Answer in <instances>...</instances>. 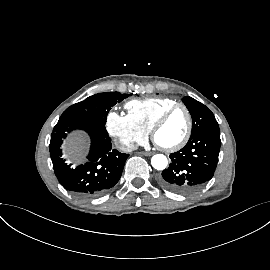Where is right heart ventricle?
<instances>
[{
    "mask_svg": "<svg viewBox=\"0 0 270 270\" xmlns=\"http://www.w3.org/2000/svg\"><path fill=\"white\" fill-rule=\"evenodd\" d=\"M176 103L172 98L134 99L126 104V109L132 119L149 132L158 117Z\"/></svg>",
    "mask_w": 270,
    "mask_h": 270,
    "instance_id": "right-heart-ventricle-1",
    "label": "right heart ventricle"
}]
</instances>
